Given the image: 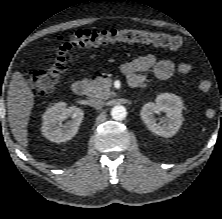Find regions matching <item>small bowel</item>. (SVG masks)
Returning <instances> with one entry per match:
<instances>
[{"label": "small bowel", "instance_id": "c3829d8e", "mask_svg": "<svg viewBox=\"0 0 222 219\" xmlns=\"http://www.w3.org/2000/svg\"><path fill=\"white\" fill-rule=\"evenodd\" d=\"M192 66L187 62L174 63L170 60L158 59L153 54L139 56L121 65V71L126 76L131 86L140 85L143 80V73L153 71L156 78L166 80L175 73L187 74Z\"/></svg>", "mask_w": 222, "mask_h": 219}]
</instances>
